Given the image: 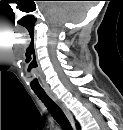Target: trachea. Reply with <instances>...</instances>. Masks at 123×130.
Wrapping results in <instances>:
<instances>
[{"label": "trachea", "mask_w": 123, "mask_h": 130, "mask_svg": "<svg viewBox=\"0 0 123 130\" xmlns=\"http://www.w3.org/2000/svg\"><path fill=\"white\" fill-rule=\"evenodd\" d=\"M35 94L44 103L52 117L63 130H72L62 109L45 92H35Z\"/></svg>", "instance_id": "1"}]
</instances>
